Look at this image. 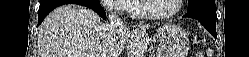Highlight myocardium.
<instances>
[{"instance_id": "1", "label": "myocardium", "mask_w": 249, "mask_h": 57, "mask_svg": "<svg viewBox=\"0 0 249 57\" xmlns=\"http://www.w3.org/2000/svg\"><path fill=\"white\" fill-rule=\"evenodd\" d=\"M147 1L148 0H138L140 13L149 20H157V21L167 20L177 15L181 11L183 5V0H176V8L173 11L165 14H153L149 12L147 8Z\"/></svg>"}]
</instances>
